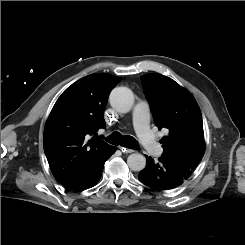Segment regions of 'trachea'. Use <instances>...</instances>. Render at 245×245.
Masks as SVG:
<instances>
[{
  "label": "trachea",
  "instance_id": "obj_1",
  "mask_svg": "<svg viewBox=\"0 0 245 245\" xmlns=\"http://www.w3.org/2000/svg\"><path fill=\"white\" fill-rule=\"evenodd\" d=\"M106 141L110 144L121 145L130 149L138 148V143L134 137L129 135L122 136L119 132H114L111 135H109L106 138Z\"/></svg>",
  "mask_w": 245,
  "mask_h": 245
}]
</instances>
